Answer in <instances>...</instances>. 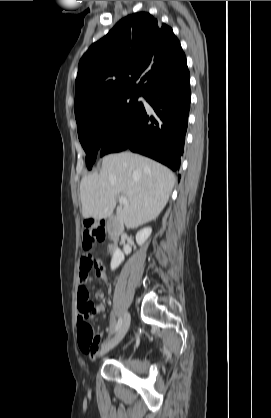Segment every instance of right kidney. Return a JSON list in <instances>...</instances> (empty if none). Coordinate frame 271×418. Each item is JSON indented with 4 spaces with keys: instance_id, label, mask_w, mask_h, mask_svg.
I'll use <instances>...</instances> for the list:
<instances>
[{
    "instance_id": "right-kidney-1",
    "label": "right kidney",
    "mask_w": 271,
    "mask_h": 418,
    "mask_svg": "<svg viewBox=\"0 0 271 418\" xmlns=\"http://www.w3.org/2000/svg\"><path fill=\"white\" fill-rule=\"evenodd\" d=\"M152 233V229L150 227H146L141 229L140 231L137 232L136 234V242L139 246L143 245L145 243V241L149 238V236ZM124 261V254L122 253V251L120 249H117L112 257L111 260V270H115L116 268L119 267V265Z\"/></svg>"
}]
</instances>
